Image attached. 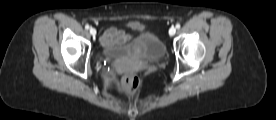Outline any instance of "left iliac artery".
I'll use <instances>...</instances> for the list:
<instances>
[{"label": "left iliac artery", "instance_id": "obj_1", "mask_svg": "<svg viewBox=\"0 0 276 120\" xmlns=\"http://www.w3.org/2000/svg\"><path fill=\"white\" fill-rule=\"evenodd\" d=\"M181 25L179 23L176 24V28L179 29Z\"/></svg>", "mask_w": 276, "mask_h": 120}]
</instances>
